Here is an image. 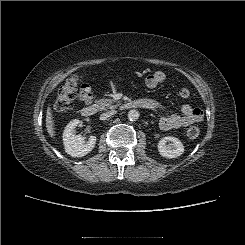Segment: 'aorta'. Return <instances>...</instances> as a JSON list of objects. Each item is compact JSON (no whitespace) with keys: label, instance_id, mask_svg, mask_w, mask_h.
<instances>
[{"label":"aorta","instance_id":"obj_1","mask_svg":"<svg viewBox=\"0 0 245 245\" xmlns=\"http://www.w3.org/2000/svg\"><path fill=\"white\" fill-rule=\"evenodd\" d=\"M140 114L137 110L133 109L128 112V119L130 121H136L139 118Z\"/></svg>","mask_w":245,"mask_h":245}]
</instances>
